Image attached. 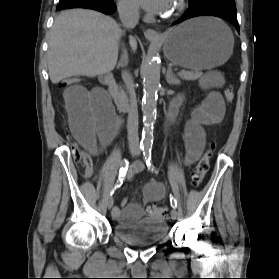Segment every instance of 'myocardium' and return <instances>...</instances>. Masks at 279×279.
<instances>
[{
  "label": "myocardium",
  "mask_w": 279,
  "mask_h": 279,
  "mask_svg": "<svg viewBox=\"0 0 279 279\" xmlns=\"http://www.w3.org/2000/svg\"><path fill=\"white\" fill-rule=\"evenodd\" d=\"M184 8H185L184 0H176L175 7H174L173 12H172V14L169 18H173V17L177 16L180 12L183 11Z\"/></svg>",
  "instance_id": "myocardium-1"
}]
</instances>
